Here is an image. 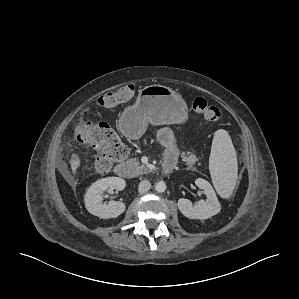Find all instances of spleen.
I'll return each instance as SVG.
<instances>
[{
  "label": "spleen",
  "mask_w": 299,
  "mask_h": 299,
  "mask_svg": "<svg viewBox=\"0 0 299 299\" xmlns=\"http://www.w3.org/2000/svg\"><path fill=\"white\" fill-rule=\"evenodd\" d=\"M209 170L213 185L223 197L231 196L237 181V157L228 132L218 129L212 141Z\"/></svg>",
  "instance_id": "obj_1"
}]
</instances>
